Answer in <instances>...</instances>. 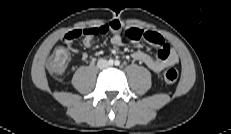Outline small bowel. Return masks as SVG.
Returning <instances> with one entry per match:
<instances>
[{"instance_id": "c3829d8e", "label": "small bowel", "mask_w": 231, "mask_h": 134, "mask_svg": "<svg viewBox=\"0 0 231 134\" xmlns=\"http://www.w3.org/2000/svg\"><path fill=\"white\" fill-rule=\"evenodd\" d=\"M121 30V23L118 20H113L109 24H104L96 28L70 31L64 35L63 42L70 50L80 52L83 60H87L90 55L88 52L80 51L76 47L74 41L77 38L83 37V45L89 48L94 44L98 36L111 32L110 43L114 46H122L124 39L121 35ZM125 36L133 44H138L141 39H144L149 44L158 48L155 54L143 50H135L132 53L134 60L145 64L155 73H159L166 67L175 65L178 62V55L174 48L157 32L143 31L137 27H128L125 31Z\"/></svg>"}]
</instances>
